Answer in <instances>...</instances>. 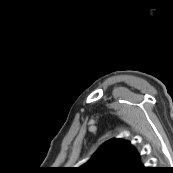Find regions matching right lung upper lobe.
I'll return each instance as SVG.
<instances>
[{
    "label": "right lung upper lobe",
    "instance_id": "obj_1",
    "mask_svg": "<svg viewBox=\"0 0 173 173\" xmlns=\"http://www.w3.org/2000/svg\"><path fill=\"white\" fill-rule=\"evenodd\" d=\"M140 163L139 154L127 141L112 139L104 143L79 173H127Z\"/></svg>",
    "mask_w": 173,
    "mask_h": 173
}]
</instances>
